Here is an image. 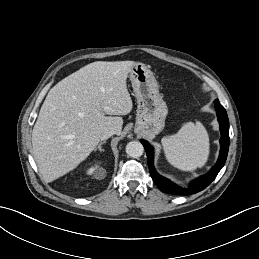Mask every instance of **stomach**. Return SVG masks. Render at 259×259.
<instances>
[{"label": "stomach", "instance_id": "stomach-1", "mask_svg": "<svg viewBox=\"0 0 259 259\" xmlns=\"http://www.w3.org/2000/svg\"><path fill=\"white\" fill-rule=\"evenodd\" d=\"M129 78L137 99L135 131L158 134L164 128L168 108L159 93L156 78L142 63H135Z\"/></svg>", "mask_w": 259, "mask_h": 259}]
</instances>
